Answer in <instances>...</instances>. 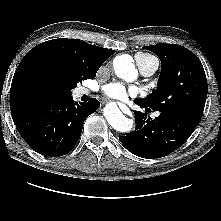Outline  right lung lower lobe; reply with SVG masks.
I'll return each instance as SVG.
<instances>
[{"label":"right lung lower lobe","instance_id":"1","mask_svg":"<svg viewBox=\"0 0 221 221\" xmlns=\"http://www.w3.org/2000/svg\"><path fill=\"white\" fill-rule=\"evenodd\" d=\"M100 107L97 99L88 103L62 100L27 102L12 111L14 123L26 143L45 156H62L80 138L85 119Z\"/></svg>","mask_w":221,"mask_h":221}]
</instances>
